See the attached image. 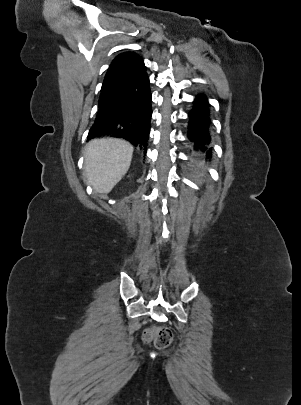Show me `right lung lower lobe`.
<instances>
[{
  "mask_svg": "<svg viewBox=\"0 0 301 405\" xmlns=\"http://www.w3.org/2000/svg\"><path fill=\"white\" fill-rule=\"evenodd\" d=\"M152 116L149 77L142 59L102 91L88 139L118 137L146 149Z\"/></svg>",
  "mask_w": 301,
  "mask_h": 405,
  "instance_id": "obj_1",
  "label": "right lung lower lobe"
}]
</instances>
